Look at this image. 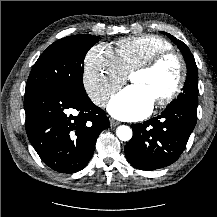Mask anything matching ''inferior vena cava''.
<instances>
[{
    "mask_svg": "<svg viewBox=\"0 0 217 217\" xmlns=\"http://www.w3.org/2000/svg\"><path fill=\"white\" fill-rule=\"evenodd\" d=\"M108 97L106 94H102L100 95L99 97H97L96 99H94V103L96 105H99V106H104L106 101H107Z\"/></svg>",
    "mask_w": 217,
    "mask_h": 217,
    "instance_id": "inferior-vena-cava-1",
    "label": "inferior vena cava"
}]
</instances>
